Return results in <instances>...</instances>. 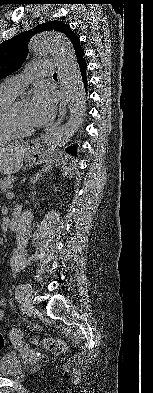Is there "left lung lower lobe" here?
<instances>
[{
  "label": "left lung lower lobe",
  "instance_id": "obj_1",
  "mask_svg": "<svg viewBox=\"0 0 153 393\" xmlns=\"http://www.w3.org/2000/svg\"><path fill=\"white\" fill-rule=\"evenodd\" d=\"M84 53L83 52H79L78 54H76V58H77V63L79 65V69H80V73H81V77L84 83V87L86 90V86H87V76H86V62L85 59L83 58ZM75 147V146H74ZM74 147L68 148L66 149V151L72 155H76Z\"/></svg>",
  "mask_w": 153,
  "mask_h": 393
}]
</instances>
